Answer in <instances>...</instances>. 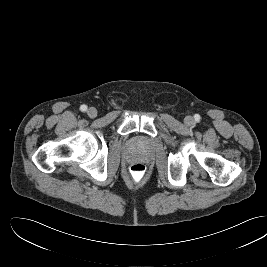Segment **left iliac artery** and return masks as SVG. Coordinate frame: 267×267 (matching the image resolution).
<instances>
[{"mask_svg": "<svg viewBox=\"0 0 267 267\" xmlns=\"http://www.w3.org/2000/svg\"><path fill=\"white\" fill-rule=\"evenodd\" d=\"M195 120H196V121H199V120H200V116H199V115H196V116H195Z\"/></svg>", "mask_w": 267, "mask_h": 267, "instance_id": "1", "label": "left iliac artery"}]
</instances>
